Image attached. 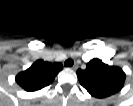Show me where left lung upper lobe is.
I'll use <instances>...</instances> for the list:
<instances>
[{
	"label": "left lung upper lobe",
	"instance_id": "obj_1",
	"mask_svg": "<svg viewBox=\"0 0 133 106\" xmlns=\"http://www.w3.org/2000/svg\"><path fill=\"white\" fill-rule=\"evenodd\" d=\"M80 84L94 97L104 98L120 91L126 78L119 67L109 66L94 58L85 70H77Z\"/></svg>",
	"mask_w": 133,
	"mask_h": 106
}]
</instances>
